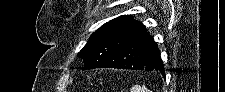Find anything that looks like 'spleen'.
I'll return each mask as SVG.
<instances>
[{"label": "spleen", "mask_w": 225, "mask_h": 92, "mask_svg": "<svg viewBox=\"0 0 225 92\" xmlns=\"http://www.w3.org/2000/svg\"><path fill=\"white\" fill-rule=\"evenodd\" d=\"M131 92H150L145 86H135L131 88Z\"/></svg>", "instance_id": "1"}]
</instances>
